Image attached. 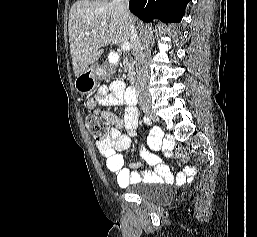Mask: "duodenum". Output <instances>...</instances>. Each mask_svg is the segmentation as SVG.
<instances>
[{
  "label": "duodenum",
  "instance_id": "1",
  "mask_svg": "<svg viewBox=\"0 0 257 237\" xmlns=\"http://www.w3.org/2000/svg\"><path fill=\"white\" fill-rule=\"evenodd\" d=\"M125 98L131 104L136 103V101H137V92H136L135 87L129 86V87L126 88V90H125Z\"/></svg>",
  "mask_w": 257,
  "mask_h": 237
}]
</instances>
